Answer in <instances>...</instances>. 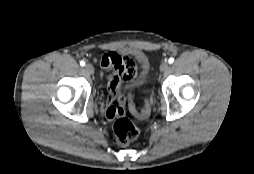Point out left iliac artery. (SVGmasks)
Listing matches in <instances>:
<instances>
[{
    "mask_svg": "<svg viewBox=\"0 0 254 174\" xmlns=\"http://www.w3.org/2000/svg\"><path fill=\"white\" fill-rule=\"evenodd\" d=\"M168 62L169 64H172L174 62V58L173 57L169 58Z\"/></svg>",
    "mask_w": 254,
    "mask_h": 174,
    "instance_id": "44dca946",
    "label": "left iliac artery"
}]
</instances>
